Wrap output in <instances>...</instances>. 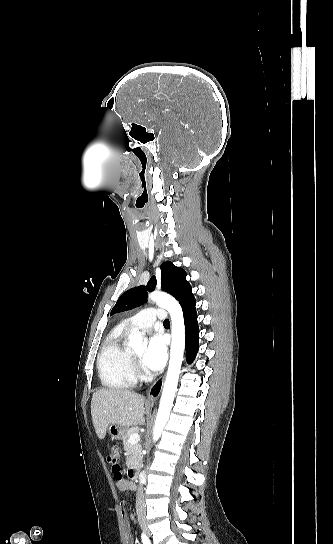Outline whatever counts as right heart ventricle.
Masks as SVG:
<instances>
[{
  "label": "right heart ventricle",
  "instance_id": "obj_1",
  "mask_svg": "<svg viewBox=\"0 0 333 544\" xmlns=\"http://www.w3.org/2000/svg\"><path fill=\"white\" fill-rule=\"evenodd\" d=\"M128 328L120 325L102 343L97 360L102 384L112 389L130 388L135 384L131 350L124 344Z\"/></svg>",
  "mask_w": 333,
  "mask_h": 544
}]
</instances>
